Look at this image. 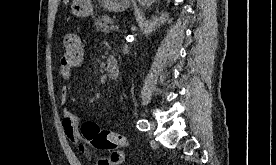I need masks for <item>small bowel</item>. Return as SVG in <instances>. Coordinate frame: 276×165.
I'll use <instances>...</instances> for the list:
<instances>
[{"label":"small bowel","instance_id":"c3829d8e","mask_svg":"<svg viewBox=\"0 0 276 165\" xmlns=\"http://www.w3.org/2000/svg\"><path fill=\"white\" fill-rule=\"evenodd\" d=\"M60 75L63 79L71 77L72 70L69 67L61 65L59 68ZM68 91L66 87H62L60 91V98L63 105L62 108V126L66 137L74 143L88 163H92V154L88 147L85 145L78 128L79 118L64 107L67 101ZM124 160V154L120 153L118 157L112 153L110 156L101 157L97 161V165H117Z\"/></svg>","mask_w":276,"mask_h":165}]
</instances>
